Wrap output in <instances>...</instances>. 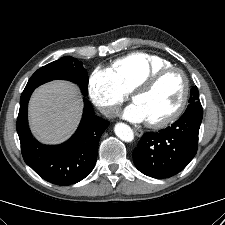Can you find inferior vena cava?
Instances as JSON below:
<instances>
[{"label":"inferior vena cava","instance_id":"inferior-vena-cava-1","mask_svg":"<svg viewBox=\"0 0 225 225\" xmlns=\"http://www.w3.org/2000/svg\"><path fill=\"white\" fill-rule=\"evenodd\" d=\"M118 111H119V108L112 106V107L103 108L101 112L106 117H114Z\"/></svg>","mask_w":225,"mask_h":225}]
</instances>
